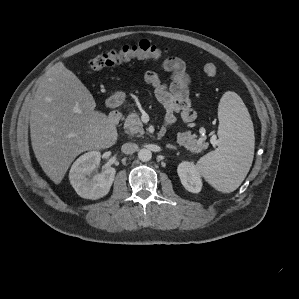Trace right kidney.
<instances>
[{
  "label": "right kidney",
  "mask_w": 299,
  "mask_h": 299,
  "mask_svg": "<svg viewBox=\"0 0 299 299\" xmlns=\"http://www.w3.org/2000/svg\"><path fill=\"white\" fill-rule=\"evenodd\" d=\"M99 151L81 155L72 165L69 173L70 183L76 193L85 199H99L105 196L112 186L116 170L107 168L100 173L96 169L100 163Z\"/></svg>",
  "instance_id": "right-kidney-1"
}]
</instances>
